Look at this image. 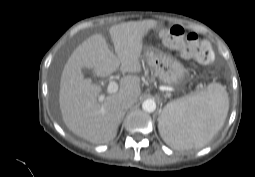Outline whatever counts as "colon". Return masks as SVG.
Returning a JSON list of instances; mask_svg holds the SVG:
<instances>
[{"label":"colon","mask_w":255,"mask_h":177,"mask_svg":"<svg viewBox=\"0 0 255 177\" xmlns=\"http://www.w3.org/2000/svg\"><path fill=\"white\" fill-rule=\"evenodd\" d=\"M163 44L180 53L185 59H193L200 64H210L214 60V54L210 44L200 42L194 32L186 33L184 28L174 25L160 31Z\"/></svg>","instance_id":"colon-1"}]
</instances>
